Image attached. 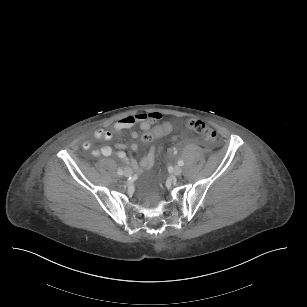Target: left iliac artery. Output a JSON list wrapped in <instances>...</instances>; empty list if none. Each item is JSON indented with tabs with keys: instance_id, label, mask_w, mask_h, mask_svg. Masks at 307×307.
Here are the masks:
<instances>
[{
	"instance_id": "obj_1",
	"label": "left iliac artery",
	"mask_w": 307,
	"mask_h": 307,
	"mask_svg": "<svg viewBox=\"0 0 307 307\" xmlns=\"http://www.w3.org/2000/svg\"><path fill=\"white\" fill-rule=\"evenodd\" d=\"M178 165H179V166H183V165H184V161H183V160H179V161H178Z\"/></svg>"
}]
</instances>
